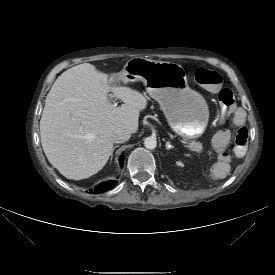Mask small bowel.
Returning a JSON list of instances; mask_svg holds the SVG:
<instances>
[{
    "label": "small bowel",
    "instance_id": "small-bowel-1",
    "mask_svg": "<svg viewBox=\"0 0 275 275\" xmlns=\"http://www.w3.org/2000/svg\"><path fill=\"white\" fill-rule=\"evenodd\" d=\"M233 124L236 129L246 128V113L242 108L234 111ZM233 142V134L228 129L220 128L212 134L209 149L216 155L208 174L213 181H222L232 168L233 158L226 150L233 145Z\"/></svg>",
    "mask_w": 275,
    "mask_h": 275
}]
</instances>
